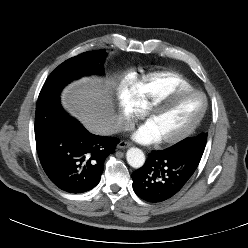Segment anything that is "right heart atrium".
Listing matches in <instances>:
<instances>
[{
	"mask_svg": "<svg viewBox=\"0 0 248 248\" xmlns=\"http://www.w3.org/2000/svg\"><path fill=\"white\" fill-rule=\"evenodd\" d=\"M120 127L129 130L143 115V108L131 90H122L118 96Z\"/></svg>",
	"mask_w": 248,
	"mask_h": 248,
	"instance_id": "obj_1",
	"label": "right heart atrium"
}]
</instances>
